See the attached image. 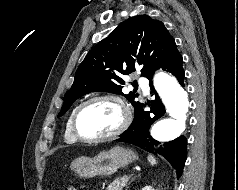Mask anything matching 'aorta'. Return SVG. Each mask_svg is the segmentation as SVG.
I'll return each instance as SVG.
<instances>
[{"mask_svg": "<svg viewBox=\"0 0 238 190\" xmlns=\"http://www.w3.org/2000/svg\"><path fill=\"white\" fill-rule=\"evenodd\" d=\"M154 85L169 116L154 124L151 136L159 142H169L179 137L186 127L188 93L176 78L164 72L155 75Z\"/></svg>", "mask_w": 238, "mask_h": 190, "instance_id": "762f6f07", "label": "aorta"}]
</instances>
